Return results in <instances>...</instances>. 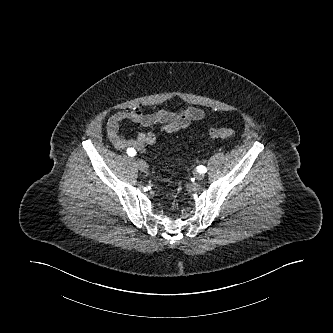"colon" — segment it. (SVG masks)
I'll return each instance as SVG.
<instances>
[{
	"mask_svg": "<svg viewBox=\"0 0 333 333\" xmlns=\"http://www.w3.org/2000/svg\"><path fill=\"white\" fill-rule=\"evenodd\" d=\"M212 138L229 139L235 136V131L230 128H213L209 131Z\"/></svg>",
	"mask_w": 333,
	"mask_h": 333,
	"instance_id": "colon-1",
	"label": "colon"
}]
</instances>
